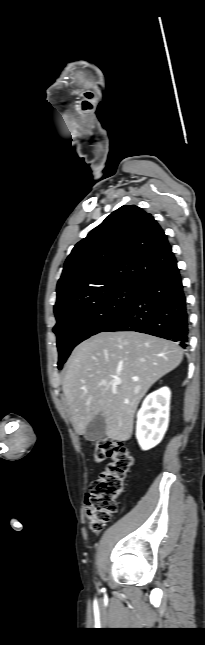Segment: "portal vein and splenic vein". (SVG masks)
<instances>
[{"label": "portal vein and splenic vein", "mask_w": 205, "mask_h": 645, "mask_svg": "<svg viewBox=\"0 0 205 645\" xmlns=\"http://www.w3.org/2000/svg\"><path fill=\"white\" fill-rule=\"evenodd\" d=\"M114 383H115L116 385H120V384H121V380H120V379H115V380H114Z\"/></svg>", "instance_id": "1"}]
</instances>
